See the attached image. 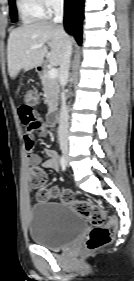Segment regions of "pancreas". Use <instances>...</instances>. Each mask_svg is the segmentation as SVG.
I'll return each instance as SVG.
<instances>
[{"instance_id": "pancreas-1", "label": "pancreas", "mask_w": 134, "mask_h": 281, "mask_svg": "<svg viewBox=\"0 0 134 281\" xmlns=\"http://www.w3.org/2000/svg\"><path fill=\"white\" fill-rule=\"evenodd\" d=\"M42 86L49 112L56 109L58 105L59 85L55 78H50L48 71H44L41 75Z\"/></svg>"}]
</instances>
